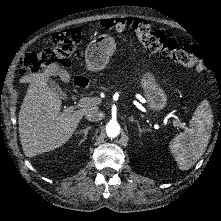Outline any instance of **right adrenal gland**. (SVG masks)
Here are the masks:
<instances>
[{
	"instance_id": "2a0ac1e0",
	"label": "right adrenal gland",
	"mask_w": 221,
	"mask_h": 221,
	"mask_svg": "<svg viewBox=\"0 0 221 221\" xmlns=\"http://www.w3.org/2000/svg\"><path fill=\"white\" fill-rule=\"evenodd\" d=\"M91 128H92L91 126H87L85 129L80 130V133H84V138H86V136H87V134H88V132H89V130H90ZM82 142H83V140H81V141L79 142V145H80Z\"/></svg>"
}]
</instances>
